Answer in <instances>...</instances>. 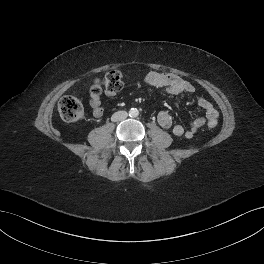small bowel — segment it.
<instances>
[{
	"label": "small bowel",
	"instance_id": "small-bowel-1",
	"mask_svg": "<svg viewBox=\"0 0 264 264\" xmlns=\"http://www.w3.org/2000/svg\"><path fill=\"white\" fill-rule=\"evenodd\" d=\"M144 84L148 87L159 88L163 92L175 96L184 93H195V87L191 83L172 73L151 71L146 75ZM108 94L113 93L108 92ZM89 102L93 116L96 118L102 117L104 109L101 105L100 97L91 94ZM197 104L204 111L205 117L193 119L189 123L188 128H184L181 124L175 122L168 111L159 112L158 122L160 126L166 130H170L175 136L186 137L188 139L193 138L207 120H217L219 116L217 109L207 99L198 97Z\"/></svg>",
	"mask_w": 264,
	"mask_h": 264
}]
</instances>
